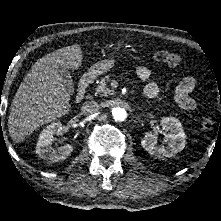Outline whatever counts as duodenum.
Masks as SVG:
<instances>
[{
	"instance_id": "1",
	"label": "duodenum",
	"mask_w": 221,
	"mask_h": 221,
	"mask_svg": "<svg viewBox=\"0 0 221 221\" xmlns=\"http://www.w3.org/2000/svg\"><path fill=\"white\" fill-rule=\"evenodd\" d=\"M92 81H93V77L91 74H85L80 79L77 93H76V97H75L76 101L78 103L84 99L87 89H88L89 85L92 83Z\"/></svg>"
}]
</instances>
